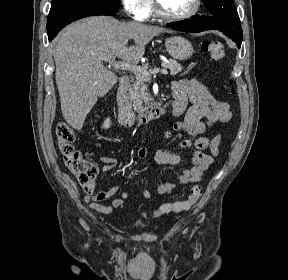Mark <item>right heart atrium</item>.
<instances>
[{"mask_svg": "<svg viewBox=\"0 0 288 280\" xmlns=\"http://www.w3.org/2000/svg\"><path fill=\"white\" fill-rule=\"evenodd\" d=\"M125 13L134 20H145L152 10V0H121Z\"/></svg>", "mask_w": 288, "mask_h": 280, "instance_id": "d8ad5b80", "label": "right heart atrium"}]
</instances>
